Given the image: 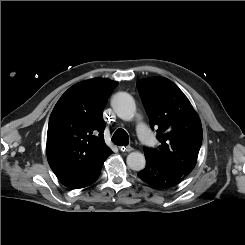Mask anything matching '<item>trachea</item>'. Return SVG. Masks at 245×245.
I'll return each instance as SVG.
<instances>
[{
  "instance_id": "3493384b",
  "label": "trachea",
  "mask_w": 245,
  "mask_h": 245,
  "mask_svg": "<svg viewBox=\"0 0 245 245\" xmlns=\"http://www.w3.org/2000/svg\"><path fill=\"white\" fill-rule=\"evenodd\" d=\"M112 141L118 146H127L129 143V136L124 129H117L113 134Z\"/></svg>"
}]
</instances>
